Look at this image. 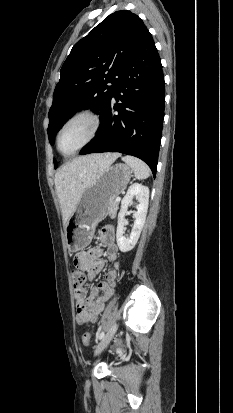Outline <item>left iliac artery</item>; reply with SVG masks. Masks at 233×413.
I'll return each instance as SVG.
<instances>
[{"label":"left iliac artery","instance_id":"obj_1","mask_svg":"<svg viewBox=\"0 0 233 413\" xmlns=\"http://www.w3.org/2000/svg\"><path fill=\"white\" fill-rule=\"evenodd\" d=\"M98 337L99 339H102L104 337V332H101Z\"/></svg>","mask_w":233,"mask_h":413}]
</instances>
